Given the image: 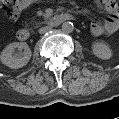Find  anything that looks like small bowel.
Here are the masks:
<instances>
[{
  "instance_id": "obj_1",
  "label": "small bowel",
  "mask_w": 119,
  "mask_h": 119,
  "mask_svg": "<svg viewBox=\"0 0 119 119\" xmlns=\"http://www.w3.org/2000/svg\"><path fill=\"white\" fill-rule=\"evenodd\" d=\"M7 14L10 20L15 21L20 14L31 6L30 0L6 1ZM97 5L107 13L103 20H95L91 23L90 30L95 36L110 35L119 28V3L116 0H99Z\"/></svg>"
}]
</instances>
